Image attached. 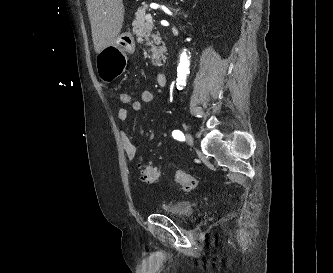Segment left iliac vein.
<instances>
[{"label": "left iliac vein", "mask_w": 333, "mask_h": 273, "mask_svg": "<svg viewBox=\"0 0 333 273\" xmlns=\"http://www.w3.org/2000/svg\"><path fill=\"white\" fill-rule=\"evenodd\" d=\"M185 138H186V142H187L189 145H193L194 140H193V136H192L190 133H186V134H185Z\"/></svg>", "instance_id": "obj_1"}]
</instances>
